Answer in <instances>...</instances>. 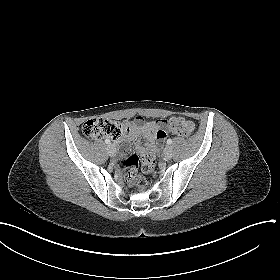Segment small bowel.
<instances>
[{"instance_id":"obj_1","label":"small bowel","mask_w":280,"mask_h":280,"mask_svg":"<svg viewBox=\"0 0 280 280\" xmlns=\"http://www.w3.org/2000/svg\"><path fill=\"white\" fill-rule=\"evenodd\" d=\"M163 125L164 121H144L141 116H138L134 120L124 123V131L115 141L121 146L122 154L125 153L130 141L134 143V149L137 153L142 154L147 151L154 154L167 137L166 131L162 128ZM141 136L145 140V145L140 140Z\"/></svg>"}]
</instances>
